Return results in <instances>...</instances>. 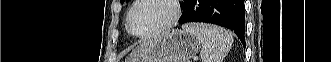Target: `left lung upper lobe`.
<instances>
[{
  "label": "left lung upper lobe",
  "mask_w": 331,
  "mask_h": 62,
  "mask_svg": "<svg viewBox=\"0 0 331 62\" xmlns=\"http://www.w3.org/2000/svg\"><path fill=\"white\" fill-rule=\"evenodd\" d=\"M121 1V3H123L124 2V0H120ZM187 2V0H184V3H186ZM181 7H182V4H181Z\"/></svg>",
  "instance_id": "obj_1"
}]
</instances>
